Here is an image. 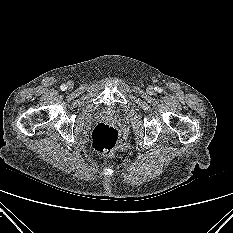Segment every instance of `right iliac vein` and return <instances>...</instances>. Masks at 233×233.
Returning a JSON list of instances; mask_svg holds the SVG:
<instances>
[{
    "label": "right iliac vein",
    "mask_w": 233,
    "mask_h": 233,
    "mask_svg": "<svg viewBox=\"0 0 233 233\" xmlns=\"http://www.w3.org/2000/svg\"><path fill=\"white\" fill-rule=\"evenodd\" d=\"M72 87H73V83H72V82H68V83H67V88H68V89H71Z\"/></svg>",
    "instance_id": "right-iliac-vein-1"
}]
</instances>
